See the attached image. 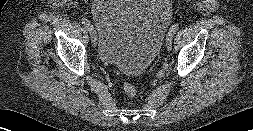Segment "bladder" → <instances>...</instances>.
I'll use <instances>...</instances> for the list:
<instances>
[{
	"instance_id": "1",
	"label": "bladder",
	"mask_w": 253,
	"mask_h": 131,
	"mask_svg": "<svg viewBox=\"0 0 253 131\" xmlns=\"http://www.w3.org/2000/svg\"><path fill=\"white\" fill-rule=\"evenodd\" d=\"M171 15L168 0H96L98 58L126 75H140L159 52Z\"/></svg>"
}]
</instances>
